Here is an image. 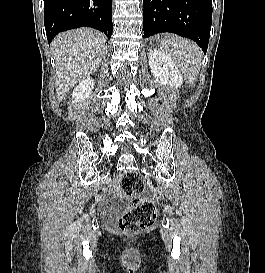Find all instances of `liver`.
I'll return each instance as SVG.
<instances>
[{
    "label": "liver",
    "instance_id": "6515ba94",
    "mask_svg": "<svg viewBox=\"0 0 265 273\" xmlns=\"http://www.w3.org/2000/svg\"><path fill=\"white\" fill-rule=\"evenodd\" d=\"M56 62V94L61 101L78 82L98 68L106 50L105 36L93 29L79 28L60 33L51 43Z\"/></svg>",
    "mask_w": 265,
    "mask_h": 273
}]
</instances>
